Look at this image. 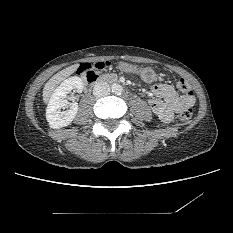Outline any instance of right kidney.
Here are the masks:
<instances>
[{"label":"right kidney","mask_w":233,"mask_h":233,"mask_svg":"<svg viewBox=\"0 0 233 233\" xmlns=\"http://www.w3.org/2000/svg\"><path fill=\"white\" fill-rule=\"evenodd\" d=\"M84 88L83 81L77 76L64 80L51 95L49 104L46 109V119L49 126L53 129H59L71 124L78 111V104L71 103L70 109L62 111V108L68 106L66 95L73 89L82 92Z\"/></svg>","instance_id":"right-kidney-1"}]
</instances>
